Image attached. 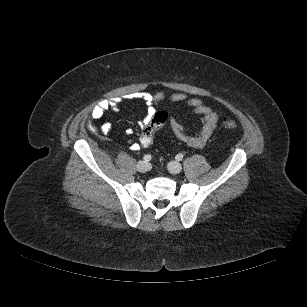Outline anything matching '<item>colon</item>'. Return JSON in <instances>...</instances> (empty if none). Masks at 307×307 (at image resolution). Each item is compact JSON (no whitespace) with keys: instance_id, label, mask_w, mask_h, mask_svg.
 I'll return each mask as SVG.
<instances>
[{"instance_id":"obj_1","label":"colon","mask_w":307,"mask_h":307,"mask_svg":"<svg viewBox=\"0 0 307 307\" xmlns=\"http://www.w3.org/2000/svg\"><path fill=\"white\" fill-rule=\"evenodd\" d=\"M167 119L168 114L166 111H158L153 115L150 124L141 133L140 143L142 146L149 147L152 145L156 131L166 123ZM222 126L228 130H234L237 124L232 118L224 117L222 119Z\"/></svg>"}]
</instances>
